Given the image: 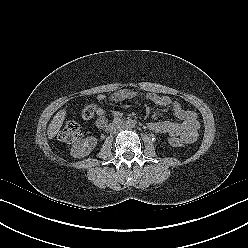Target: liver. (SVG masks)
I'll use <instances>...</instances> for the list:
<instances>
[{
    "instance_id": "liver-1",
    "label": "liver",
    "mask_w": 248,
    "mask_h": 248,
    "mask_svg": "<svg viewBox=\"0 0 248 248\" xmlns=\"http://www.w3.org/2000/svg\"><path fill=\"white\" fill-rule=\"evenodd\" d=\"M66 116V110H59L53 117V120L48 126L47 135L49 139H53L59 132Z\"/></svg>"
}]
</instances>
